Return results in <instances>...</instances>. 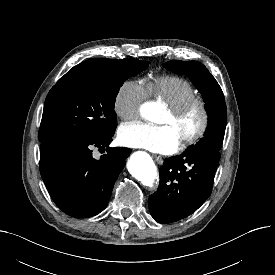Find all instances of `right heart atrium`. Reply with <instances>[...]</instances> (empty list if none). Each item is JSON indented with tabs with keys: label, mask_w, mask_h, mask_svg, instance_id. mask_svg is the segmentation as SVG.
Returning <instances> with one entry per match:
<instances>
[{
	"label": "right heart atrium",
	"mask_w": 275,
	"mask_h": 275,
	"mask_svg": "<svg viewBox=\"0 0 275 275\" xmlns=\"http://www.w3.org/2000/svg\"><path fill=\"white\" fill-rule=\"evenodd\" d=\"M148 96L146 87L137 80H126L117 89L113 99L115 114L124 121L135 119Z\"/></svg>",
	"instance_id": "1"
}]
</instances>
